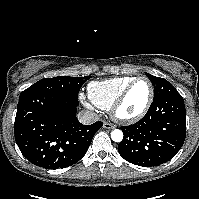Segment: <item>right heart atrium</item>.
<instances>
[{"instance_id":"d8ad5b80","label":"right heart atrium","mask_w":199,"mask_h":199,"mask_svg":"<svg viewBox=\"0 0 199 199\" xmlns=\"http://www.w3.org/2000/svg\"><path fill=\"white\" fill-rule=\"evenodd\" d=\"M80 99L87 107H91L90 103L86 100L83 94L80 95Z\"/></svg>"}]
</instances>
